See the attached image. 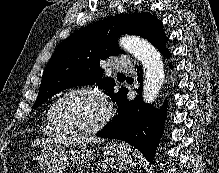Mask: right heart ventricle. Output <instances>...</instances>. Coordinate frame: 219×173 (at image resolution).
<instances>
[{"label": "right heart ventricle", "instance_id": "1", "mask_svg": "<svg viewBox=\"0 0 219 173\" xmlns=\"http://www.w3.org/2000/svg\"><path fill=\"white\" fill-rule=\"evenodd\" d=\"M55 101H52L45 113V120H44V132L51 136H62L64 135L63 132L57 127V125L54 122L53 118V108Z\"/></svg>", "mask_w": 219, "mask_h": 173}]
</instances>
